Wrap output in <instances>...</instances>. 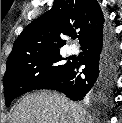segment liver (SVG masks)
<instances>
[{"label":"liver","mask_w":122,"mask_h":123,"mask_svg":"<svg viewBox=\"0 0 122 123\" xmlns=\"http://www.w3.org/2000/svg\"><path fill=\"white\" fill-rule=\"evenodd\" d=\"M94 118L65 95L48 90L24 96L13 108L10 123H93Z\"/></svg>","instance_id":"1"}]
</instances>
